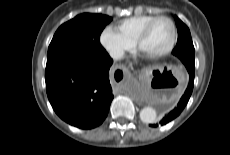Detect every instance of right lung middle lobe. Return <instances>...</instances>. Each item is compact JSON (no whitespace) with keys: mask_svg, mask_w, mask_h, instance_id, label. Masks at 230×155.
I'll list each match as a JSON object with an SVG mask.
<instances>
[{"mask_svg":"<svg viewBox=\"0 0 230 155\" xmlns=\"http://www.w3.org/2000/svg\"><path fill=\"white\" fill-rule=\"evenodd\" d=\"M111 20L106 15L83 13L64 23L49 45L47 62L63 57L106 54L100 44V34Z\"/></svg>","mask_w":230,"mask_h":155,"instance_id":"obj_1","label":"right lung middle lobe"}]
</instances>
